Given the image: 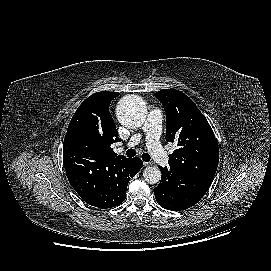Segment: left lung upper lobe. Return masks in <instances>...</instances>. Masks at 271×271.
I'll use <instances>...</instances> for the list:
<instances>
[{
	"label": "left lung upper lobe",
	"instance_id": "1",
	"mask_svg": "<svg viewBox=\"0 0 271 271\" xmlns=\"http://www.w3.org/2000/svg\"><path fill=\"white\" fill-rule=\"evenodd\" d=\"M166 111V141L178 149L169 166L210 186L217 170L219 149L214 132L195 103L175 89L155 93Z\"/></svg>",
	"mask_w": 271,
	"mask_h": 271
}]
</instances>
